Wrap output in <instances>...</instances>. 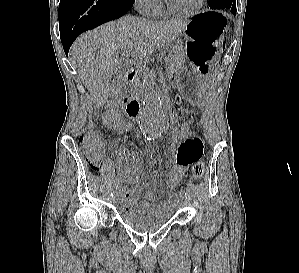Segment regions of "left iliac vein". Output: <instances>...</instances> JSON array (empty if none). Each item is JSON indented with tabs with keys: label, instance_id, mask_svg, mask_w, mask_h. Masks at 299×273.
Listing matches in <instances>:
<instances>
[{
	"label": "left iliac vein",
	"instance_id": "1",
	"mask_svg": "<svg viewBox=\"0 0 299 273\" xmlns=\"http://www.w3.org/2000/svg\"><path fill=\"white\" fill-rule=\"evenodd\" d=\"M178 206L179 207H182V206H184L185 205V199H184V197H180L179 199H178Z\"/></svg>",
	"mask_w": 299,
	"mask_h": 273
}]
</instances>
